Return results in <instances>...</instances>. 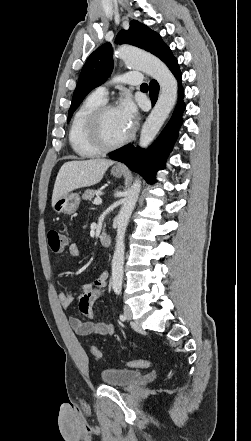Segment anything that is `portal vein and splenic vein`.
Returning a JSON list of instances; mask_svg holds the SVG:
<instances>
[{
  "mask_svg": "<svg viewBox=\"0 0 251 441\" xmlns=\"http://www.w3.org/2000/svg\"><path fill=\"white\" fill-rule=\"evenodd\" d=\"M101 203H102V199H101L100 197H96V198L94 199V204L99 205V204H101Z\"/></svg>",
  "mask_w": 251,
  "mask_h": 441,
  "instance_id": "portal-vein-and-splenic-vein-1",
  "label": "portal vein and splenic vein"
}]
</instances>
